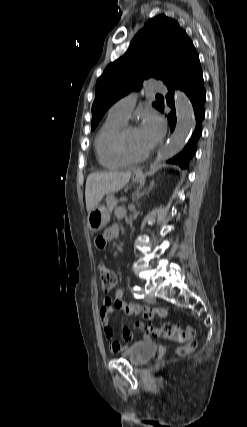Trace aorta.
<instances>
[{"label":"aorta","instance_id":"obj_1","mask_svg":"<svg viewBox=\"0 0 247 427\" xmlns=\"http://www.w3.org/2000/svg\"><path fill=\"white\" fill-rule=\"evenodd\" d=\"M175 108L177 116L176 128L168 142L159 150L157 163L167 160L178 153L187 143L195 128V115L192 104L182 92L175 94Z\"/></svg>","mask_w":247,"mask_h":427}]
</instances>
